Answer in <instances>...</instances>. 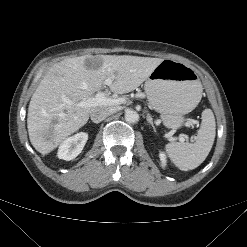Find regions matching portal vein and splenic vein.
Instances as JSON below:
<instances>
[{
    "label": "portal vein and splenic vein",
    "mask_w": 247,
    "mask_h": 247,
    "mask_svg": "<svg viewBox=\"0 0 247 247\" xmlns=\"http://www.w3.org/2000/svg\"><path fill=\"white\" fill-rule=\"evenodd\" d=\"M111 80L107 79L106 84L110 85ZM125 101V98H109L106 97V94L102 91H99L94 97L88 98L86 100L81 101L78 105L81 107H91V106H100V105H118L122 104ZM186 136L180 135L178 139L181 142L185 141Z\"/></svg>",
    "instance_id": "1"
}]
</instances>
